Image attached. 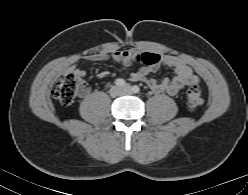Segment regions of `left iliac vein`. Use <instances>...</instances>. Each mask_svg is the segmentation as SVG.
<instances>
[{
    "mask_svg": "<svg viewBox=\"0 0 248 195\" xmlns=\"http://www.w3.org/2000/svg\"><path fill=\"white\" fill-rule=\"evenodd\" d=\"M123 91H124L125 93H130V92L132 91V88H131V86L126 85V86L123 88Z\"/></svg>",
    "mask_w": 248,
    "mask_h": 195,
    "instance_id": "left-iliac-vein-1",
    "label": "left iliac vein"
}]
</instances>
